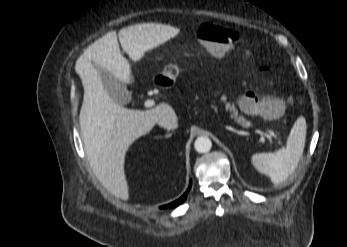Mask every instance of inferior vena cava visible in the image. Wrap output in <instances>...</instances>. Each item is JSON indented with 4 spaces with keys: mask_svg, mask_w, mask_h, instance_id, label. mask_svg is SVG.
Listing matches in <instances>:
<instances>
[{
    "mask_svg": "<svg viewBox=\"0 0 347 247\" xmlns=\"http://www.w3.org/2000/svg\"><path fill=\"white\" fill-rule=\"evenodd\" d=\"M157 123L159 126L164 127L167 130H173L178 127L176 116L172 113L160 116Z\"/></svg>",
    "mask_w": 347,
    "mask_h": 247,
    "instance_id": "obj_1",
    "label": "inferior vena cava"
}]
</instances>
